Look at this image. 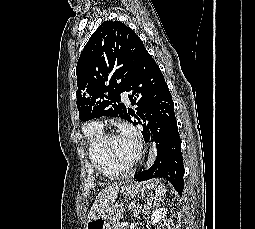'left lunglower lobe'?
Here are the masks:
<instances>
[{
  "label": "left lung lower lobe",
  "instance_id": "1",
  "mask_svg": "<svg viewBox=\"0 0 255 229\" xmlns=\"http://www.w3.org/2000/svg\"><path fill=\"white\" fill-rule=\"evenodd\" d=\"M124 91L131 92V104L138 106L136 114L128 110L126 120L143 127L146 142L150 135L158 142L154 165L136 173L135 180L167 179L181 196L184 165L174 104L164 76L147 50L142 53ZM131 116L137 121H132Z\"/></svg>",
  "mask_w": 255,
  "mask_h": 229
}]
</instances>
